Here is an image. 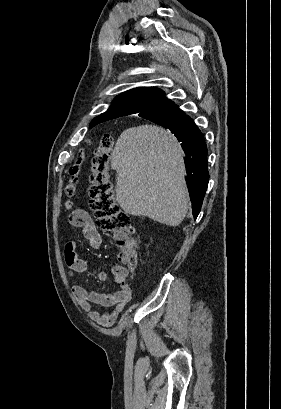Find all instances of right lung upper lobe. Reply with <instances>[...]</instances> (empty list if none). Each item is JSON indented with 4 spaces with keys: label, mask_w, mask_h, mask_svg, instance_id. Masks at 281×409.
<instances>
[{
    "label": "right lung upper lobe",
    "mask_w": 281,
    "mask_h": 409,
    "mask_svg": "<svg viewBox=\"0 0 281 409\" xmlns=\"http://www.w3.org/2000/svg\"><path fill=\"white\" fill-rule=\"evenodd\" d=\"M173 104L174 102L167 99L160 89L154 87L131 89L118 95L105 113L92 120L90 127L117 117L165 108Z\"/></svg>",
    "instance_id": "cb5924a9"
}]
</instances>
